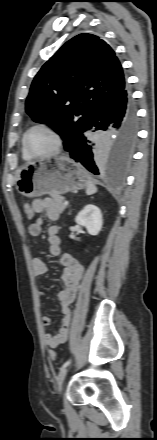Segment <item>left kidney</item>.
<instances>
[{"label":"left kidney","mask_w":157,"mask_h":440,"mask_svg":"<svg viewBox=\"0 0 157 440\" xmlns=\"http://www.w3.org/2000/svg\"><path fill=\"white\" fill-rule=\"evenodd\" d=\"M75 222L85 226L90 235L96 236L102 228V213L97 206L89 204L78 213Z\"/></svg>","instance_id":"obj_1"}]
</instances>
